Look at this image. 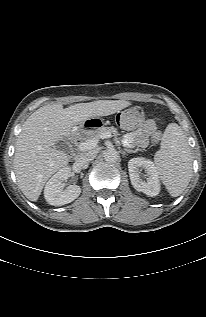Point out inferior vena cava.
<instances>
[{"label": "inferior vena cava", "instance_id": "602c4592", "mask_svg": "<svg viewBox=\"0 0 206 317\" xmlns=\"http://www.w3.org/2000/svg\"><path fill=\"white\" fill-rule=\"evenodd\" d=\"M96 156V153L93 151H88V152H81L79 153L75 160L76 162L80 163V164H86L88 162H90L91 160H93Z\"/></svg>", "mask_w": 206, "mask_h": 317}]
</instances>
